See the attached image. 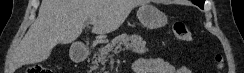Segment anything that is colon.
Returning <instances> with one entry per match:
<instances>
[{
    "label": "colon",
    "instance_id": "obj_1",
    "mask_svg": "<svg viewBox=\"0 0 244 73\" xmlns=\"http://www.w3.org/2000/svg\"><path fill=\"white\" fill-rule=\"evenodd\" d=\"M172 31L174 36L182 41L190 43L193 41V35L190 29V26L184 22L177 20L172 25ZM215 61L219 67L222 66V57L221 55H216ZM26 73H51L49 69L41 65H32L27 68Z\"/></svg>",
    "mask_w": 244,
    "mask_h": 73
}]
</instances>
